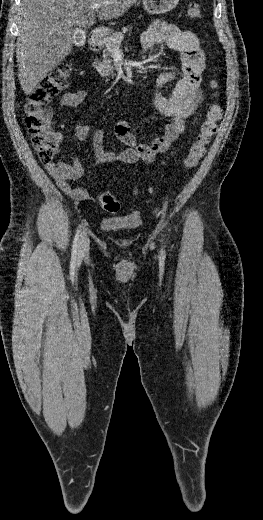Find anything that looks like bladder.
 Listing matches in <instances>:
<instances>
[{
  "instance_id": "bladder-1",
  "label": "bladder",
  "mask_w": 263,
  "mask_h": 520,
  "mask_svg": "<svg viewBox=\"0 0 263 520\" xmlns=\"http://www.w3.org/2000/svg\"><path fill=\"white\" fill-rule=\"evenodd\" d=\"M142 219L137 212L105 217L101 220V228L107 232H130L137 230Z\"/></svg>"
}]
</instances>
